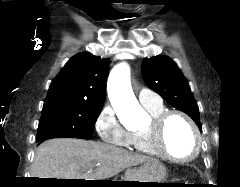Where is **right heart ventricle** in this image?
Instances as JSON below:
<instances>
[{
	"mask_svg": "<svg viewBox=\"0 0 240 187\" xmlns=\"http://www.w3.org/2000/svg\"><path fill=\"white\" fill-rule=\"evenodd\" d=\"M146 110L150 113L152 117H156L162 112H164V106L163 104L159 106H144ZM130 148L133 149L134 151L145 154V155H150V156H155L157 155L151 148L149 139L147 135L145 134L144 129L141 130H136L132 133H130Z\"/></svg>",
	"mask_w": 240,
	"mask_h": 187,
	"instance_id": "1",
	"label": "right heart ventricle"
}]
</instances>
